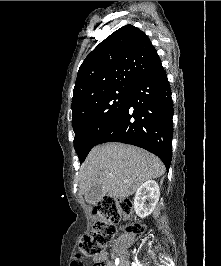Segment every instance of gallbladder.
Segmentation results:
<instances>
[{
	"instance_id": "bac80fb5",
	"label": "gallbladder",
	"mask_w": 221,
	"mask_h": 266,
	"mask_svg": "<svg viewBox=\"0 0 221 266\" xmlns=\"http://www.w3.org/2000/svg\"><path fill=\"white\" fill-rule=\"evenodd\" d=\"M104 195L105 192L103 191L102 186L97 184L87 191L85 199L88 203L94 204L100 201Z\"/></svg>"
}]
</instances>
